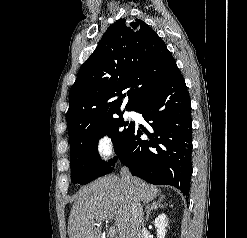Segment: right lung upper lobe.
<instances>
[{"label": "right lung upper lobe", "instance_id": "1", "mask_svg": "<svg viewBox=\"0 0 247 238\" xmlns=\"http://www.w3.org/2000/svg\"><path fill=\"white\" fill-rule=\"evenodd\" d=\"M178 69L167 46L141 20L119 19L109 26L100 44L81 66L69 92L66 114L70 146L91 127L135 110Z\"/></svg>", "mask_w": 247, "mask_h": 238}]
</instances>
